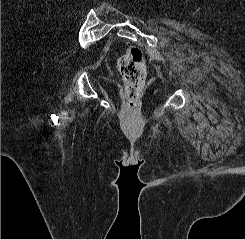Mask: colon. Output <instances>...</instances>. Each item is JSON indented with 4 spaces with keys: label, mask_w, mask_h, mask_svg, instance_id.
<instances>
[{
    "label": "colon",
    "mask_w": 245,
    "mask_h": 239,
    "mask_svg": "<svg viewBox=\"0 0 245 239\" xmlns=\"http://www.w3.org/2000/svg\"><path fill=\"white\" fill-rule=\"evenodd\" d=\"M117 67L125 84V94L130 105L139 97L146 77V62L137 46H129L119 57Z\"/></svg>",
    "instance_id": "1"
}]
</instances>
